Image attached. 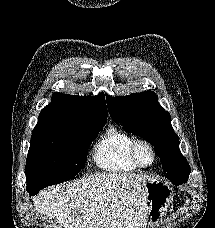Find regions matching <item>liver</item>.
<instances>
[{
  "instance_id": "1",
  "label": "liver",
  "mask_w": 215,
  "mask_h": 228,
  "mask_svg": "<svg viewBox=\"0 0 215 228\" xmlns=\"http://www.w3.org/2000/svg\"><path fill=\"white\" fill-rule=\"evenodd\" d=\"M143 174H96L32 196L35 210L61 228H146Z\"/></svg>"
}]
</instances>
